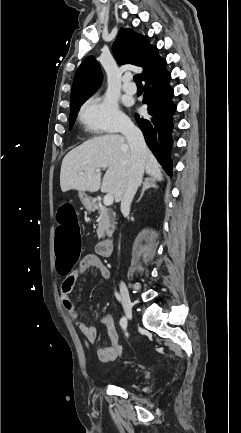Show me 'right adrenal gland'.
<instances>
[{
	"label": "right adrenal gland",
	"instance_id": "obj_1",
	"mask_svg": "<svg viewBox=\"0 0 241 433\" xmlns=\"http://www.w3.org/2000/svg\"><path fill=\"white\" fill-rule=\"evenodd\" d=\"M150 188L157 189L158 186L156 185V181L154 179L147 177L144 179V181L142 183V192H141L140 197L138 198L137 202H139L141 200L145 191L150 189Z\"/></svg>",
	"mask_w": 241,
	"mask_h": 433
}]
</instances>
